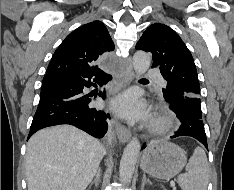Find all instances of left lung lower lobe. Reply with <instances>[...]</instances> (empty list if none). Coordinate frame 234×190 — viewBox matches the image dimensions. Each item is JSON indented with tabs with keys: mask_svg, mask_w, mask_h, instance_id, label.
<instances>
[{
	"mask_svg": "<svg viewBox=\"0 0 234 190\" xmlns=\"http://www.w3.org/2000/svg\"><path fill=\"white\" fill-rule=\"evenodd\" d=\"M170 106L172 111L176 113L178 119L181 121V126L179 127L178 131L175 132V135L171 136V138L190 136L200 141L208 149L202 119L185 112V110L179 104H170ZM145 147L146 144H143L142 149Z\"/></svg>",
	"mask_w": 234,
	"mask_h": 190,
	"instance_id": "left-lung-lower-lobe-1",
	"label": "left lung lower lobe"
}]
</instances>
